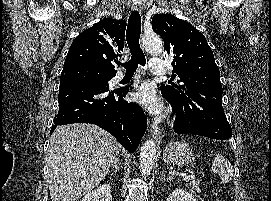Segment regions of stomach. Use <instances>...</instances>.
Wrapping results in <instances>:
<instances>
[{"mask_svg": "<svg viewBox=\"0 0 271 201\" xmlns=\"http://www.w3.org/2000/svg\"><path fill=\"white\" fill-rule=\"evenodd\" d=\"M163 159L168 164L184 166L192 162L194 154L185 142H171L163 151Z\"/></svg>", "mask_w": 271, "mask_h": 201, "instance_id": "stomach-1", "label": "stomach"}]
</instances>
